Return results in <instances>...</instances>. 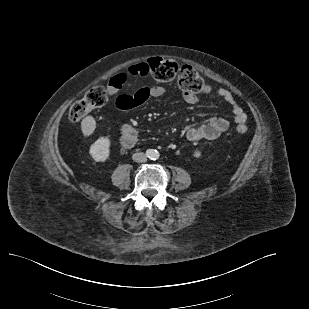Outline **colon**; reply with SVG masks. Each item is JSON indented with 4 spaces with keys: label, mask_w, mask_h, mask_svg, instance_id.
<instances>
[{
    "label": "colon",
    "mask_w": 309,
    "mask_h": 309,
    "mask_svg": "<svg viewBox=\"0 0 309 309\" xmlns=\"http://www.w3.org/2000/svg\"><path fill=\"white\" fill-rule=\"evenodd\" d=\"M149 73L161 82L177 80L183 92L192 94H206L210 87L199 73L188 65H179L173 60L152 58L147 62ZM107 102V93L104 87L95 86L86 92L85 96L75 102L70 109L69 117L73 122H79L93 109L102 107ZM236 131L240 134L247 132V126L238 124Z\"/></svg>",
    "instance_id": "5ec220e1"
}]
</instances>
